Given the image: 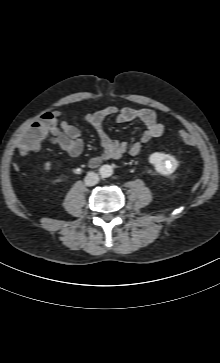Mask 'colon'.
I'll use <instances>...</instances> for the list:
<instances>
[{
  "label": "colon",
  "instance_id": "obj_1",
  "mask_svg": "<svg viewBox=\"0 0 220 363\" xmlns=\"http://www.w3.org/2000/svg\"><path fill=\"white\" fill-rule=\"evenodd\" d=\"M53 114L48 112L41 116V119L37 122H35L29 130L25 133L26 141L28 144L31 145H38L40 144L43 139L45 138L48 128L50 126V123L53 120ZM179 138L182 142L186 144H193L194 143V137L191 133L187 131H180L179 132Z\"/></svg>",
  "mask_w": 220,
  "mask_h": 363
}]
</instances>
